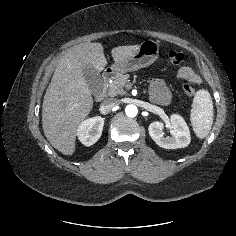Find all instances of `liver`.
<instances>
[{"label":"liver","mask_w":236,"mask_h":236,"mask_svg":"<svg viewBox=\"0 0 236 236\" xmlns=\"http://www.w3.org/2000/svg\"><path fill=\"white\" fill-rule=\"evenodd\" d=\"M139 46L113 48V60L120 62L131 57ZM107 63L102 44L87 42L68 49L56 65L43 100L42 127L50 144L64 155L75 152L78 127L93 107L83 67L91 65L103 71Z\"/></svg>","instance_id":"obj_1"}]
</instances>
